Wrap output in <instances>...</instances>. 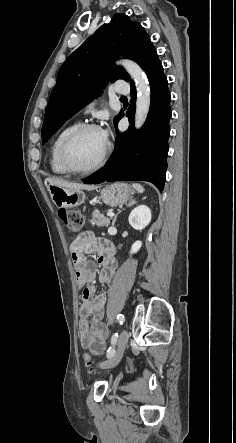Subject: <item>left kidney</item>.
Returning <instances> with one entry per match:
<instances>
[{
	"mask_svg": "<svg viewBox=\"0 0 236 443\" xmlns=\"http://www.w3.org/2000/svg\"><path fill=\"white\" fill-rule=\"evenodd\" d=\"M151 221V210L146 205H139L129 215V224L135 230L144 229ZM142 246L141 241L133 243L130 253H137Z\"/></svg>",
	"mask_w": 236,
	"mask_h": 443,
	"instance_id": "5707ae66",
	"label": "left kidney"
}]
</instances>
